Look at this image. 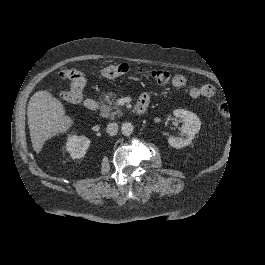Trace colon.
Segmentation results:
<instances>
[{"label": "colon", "mask_w": 265, "mask_h": 265, "mask_svg": "<svg viewBox=\"0 0 265 265\" xmlns=\"http://www.w3.org/2000/svg\"><path fill=\"white\" fill-rule=\"evenodd\" d=\"M130 72V67L126 63L110 65L100 70V74L106 78H114ZM137 74L150 78L159 84H168L171 80V75L165 70H142L136 71ZM60 77L70 81V88L62 90L58 93L59 97L68 102H78L82 98L83 89L85 87V78L81 72L75 69H65L60 72ZM228 111L227 105H221L219 112L225 115Z\"/></svg>", "instance_id": "1"}]
</instances>
